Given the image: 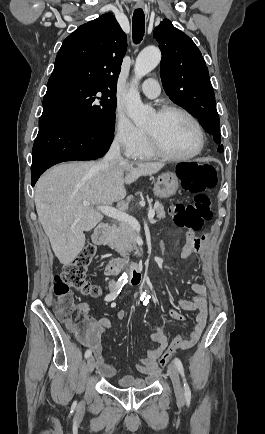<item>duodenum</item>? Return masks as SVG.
Returning a JSON list of instances; mask_svg holds the SVG:
<instances>
[{
	"label": "duodenum",
	"mask_w": 265,
	"mask_h": 434,
	"mask_svg": "<svg viewBox=\"0 0 265 434\" xmlns=\"http://www.w3.org/2000/svg\"><path fill=\"white\" fill-rule=\"evenodd\" d=\"M114 228L106 225H98L91 236V241L95 244H103L107 236L114 233ZM129 269L130 274L128 276L131 284H140L145 280L144 268L141 264L129 263L120 259H108L104 263V272L108 275L121 276L123 272Z\"/></svg>",
	"instance_id": "1"
}]
</instances>
